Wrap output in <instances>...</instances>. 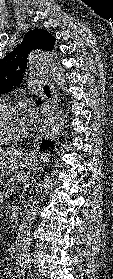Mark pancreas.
Returning <instances> with one entry per match:
<instances>
[{
	"instance_id": "cf45deb5",
	"label": "pancreas",
	"mask_w": 113,
	"mask_h": 279,
	"mask_svg": "<svg viewBox=\"0 0 113 279\" xmlns=\"http://www.w3.org/2000/svg\"><path fill=\"white\" fill-rule=\"evenodd\" d=\"M27 173L22 172L19 173L15 176H13L12 178H10L7 182L6 185L4 187V193L5 196H9L10 194L14 193L19 187L18 185L21 184V182L24 181V179L27 177Z\"/></svg>"
}]
</instances>
